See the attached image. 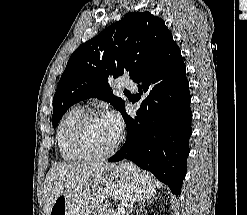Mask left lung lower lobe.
Wrapping results in <instances>:
<instances>
[{
    "label": "left lung lower lobe",
    "mask_w": 247,
    "mask_h": 215,
    "mask_svg": "<svg viewBox=\"0 0 247 215\" xmlns=\"http://www.w3.org/2000/svg\"><path fill=\"white\" fill-rule=\"evenodd\" d=\"M134 82L138 97H145L135 118L122 111L126 142L108 162L128 159L152 172L178 196L187 171L192 112L186 67L173 37Z\"/></svg>",
    "instance_id": "left-lung-lower-lobe-1"
}]
</instances>
